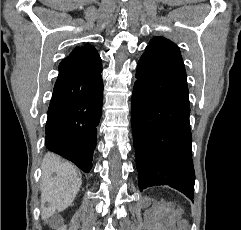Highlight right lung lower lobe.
<instances>
[{
  "label": "right lung lower lobe",
  "mask_w": 241,
  "mask_h": 230,
  "mask_svg": "<svg viewBox=\"0 0 241 230\" xmlns=\"http://www.w3.org/2000/svg\"><path fill=\"white\" fill-rule=\"evenodd\" d=\"M58 69L48 108L45 144L50 151L89 172L102 114V68H81L64 59Z\"/></svg>",
  "instance_id": "obj_1"
}]
</instances>
